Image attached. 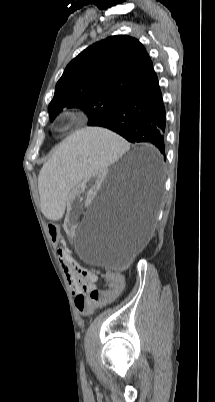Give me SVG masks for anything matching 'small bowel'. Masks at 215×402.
<instances>
[{
	"instance_id": "1",
	"label": "small bowel",
	"mask_w": 215,
	"mask_h": 402,
	"mask_svg": "<svg viewBox=\"0 0 215 402\" xmlns=\"http://www.w3.org/2000/svg\"><path fill=\"white\" fill-rule=\"evenodd\" d=\"M61 259L66 257V253L63 250L59 251ZM68 280L72 286L73 293L77 296L86 295L91 289L95 288V282L97 280L96 275H92L89 278H83L72 272H68ZM111 292V290H110Z\"/></svg>"
}]
</instances>
